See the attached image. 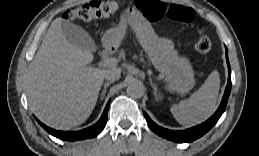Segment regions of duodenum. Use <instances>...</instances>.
<instances>
[{
  "label": "duodenum",
  "instance_id": "duodenum-1",
  "mask_svg": "<svg viewBox=\"0 0 259 156\" xmlns=\"http://www.w3.org/2000/svg\"><path fill=\"white\" fill-rule=\"evenodd\" d=\"M112 51H113L112 46L106 45V46L104 47L103 51H102V56H103V57H106V56L110 55V54L112 53Z\"/></svg>",
  "mask_w": 259,
  "mask_h": 156
}]
</instances>
